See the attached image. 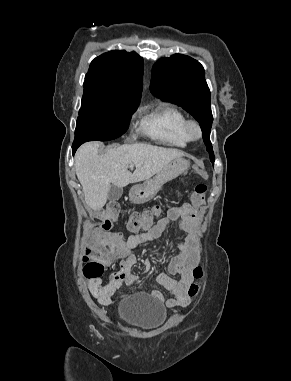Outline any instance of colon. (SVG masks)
Listing matches in <instances>:
<instances>
[{
    "label": "colon",
    "instance_id": "1",
    "mask_svg": "<svg viewBox=\"0 0 291 381\" xmlns=\"http://www.w3.org/2000/svg\"><path fill=\"white\" fill-rule=\"evenodd\" d=\"M207 192V185L199 183L196 185L192 194V201L196 206L204 203L205 195ZM160 210L154 208L146 211L143 214L132 213L130 214L127 222V228L129 231L136 232L139 230L150 229L159 215ZM120 213V206L116 202L109 203L101 211H99L97 217L100 220V224L97 227L99 238L96 241L93 248L88 249V253L84 256L85 261V274L89 278L101 277L108 266L107 249L103 243V236L110 233V230L114 222L118 219ZM193 276L196 280H200L203 277V270L200 266H197L193 270ZM200 290V284L198 282L192 283L188 289V295L194 297Z\"/></svg>",
    "mask_w": 291,
    "mask_h": 381
}]
</instances>
